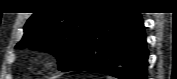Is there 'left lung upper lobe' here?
Here are the masks:
<instances>
[{
  "label": "left lung upper lobe",
  "instance_id": "obj_1",
  "mask_svg": "<svg viewBox=\"0 0 177 79\" xmlns=\"http://www.w3.org/2000/svg\"><path fill=\"white\" fill-rule=\"evenodd\" d=\"M106 8L96 11H46L34 13L24 27V36L15 48H31L58 57L59 69L77 54L90 32L105 15Z\"/></svg>",
  "mask_w": 177,
  "mask_h": 79
}]
</instances>
